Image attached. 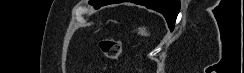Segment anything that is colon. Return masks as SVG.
Segmentation results:
<instances>
[{"mask_svg": "<svg viewBox=\"0 0 244 73\" xmlns=\"http://www.w3.org/2000/svg\"><path fill=\"white\" fill-rule=\"evenodd\" d=\"M102 53L109 59H118L121 55L122 45L120 40L115 38H105L99 43Z\"/></svg>", "mask_w": 244, "mask_h": 73, "instance_id": "colon-1", "label": "colon"}]
</instances>
